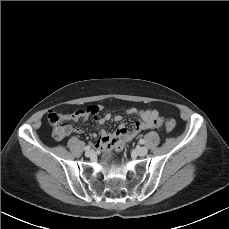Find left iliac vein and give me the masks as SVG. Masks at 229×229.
I'll use <instances>...</instances> for the list:
<instances>
[{"label": "left iliac vein", "instance_id": "1", "mask_svg": "<svg viewBox=\"0 0 229 229\" xmlns=\"http://www.w3.org/2000/svg\"><path fill=\"white\" fill-rule=\"evenodd\" d=\"M136 153L139 155V156H145L147 155L148 153V149L146 147H138L136 149Z\"/></svg>", "mask_w": 229, "mask_h": 229}]
</instances>
